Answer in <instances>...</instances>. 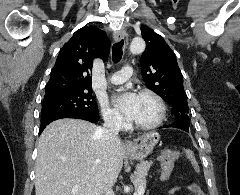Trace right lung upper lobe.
Masks as SVG:
<instances>
[{"instance_id": "right-lung-upper-lobe-1", "label": "right lung upper lobe", "mask_w": 240, "mask_h": 195, "mask_svg": "<svg viewBox=\"0 0 240 195\" xmlns=\"http://www.w3.org/2000/svg\"><path fill=\"white\" fill-rule=\"evenodd\" d=\"M109 52L110 42L104 31L86 26L77 30L57 57L45 95L67 90H92L89 72L93 60L100 57L106 61Z\"/></svg>"}]
</instances>
